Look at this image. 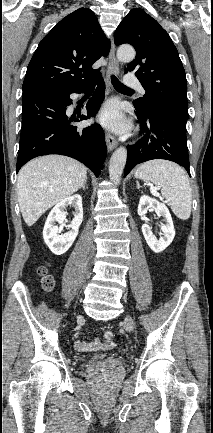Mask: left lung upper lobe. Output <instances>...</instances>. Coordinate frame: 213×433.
Wrapping results in <instances>:
<instances>
[{
	"label": "left lung upper lobe",
	"mask_w": 213,
	"mask_h": 433,
	"mask_svg": "<svg viewBox=\"0 0 213 433\" xmlns=\"http://www.w3.org/2000/svg\"><path fill=\"white\" fill-rule=\"evenodd\" d=\"M116 45L131 44L136 58L126 69L146 93L133 102L140 110L168 108L188 117L187 81L178 51L168 33L142 9H132L114 35Z\"/></svg>",
	"instance_id": "obj_1"
}]
</instances>
